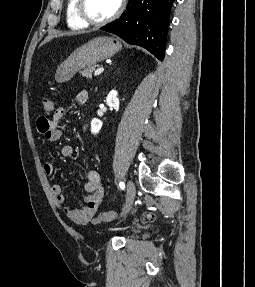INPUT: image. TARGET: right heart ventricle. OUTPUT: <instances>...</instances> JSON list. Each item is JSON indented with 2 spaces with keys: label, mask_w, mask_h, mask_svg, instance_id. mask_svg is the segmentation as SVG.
<instances>
[{
  "label": "right heart ventricle",
  "mask_w": 255,
  "mask_h": 287,
  "mask_svg": "<svg viewBox=\"0 0 255 287\" xmlns=\"http://www.w3.org/2000/svg\"><path fill=\"white\" fill-rule=\"evenodd\" d=\"M86 39H88V38H86ZM83 48H96V47H83Z\"/></svg>",
  "instance_id": "1"
}]
</instances>
